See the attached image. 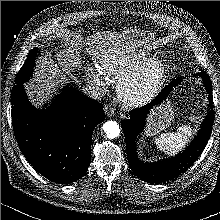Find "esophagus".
<instances>
[{
	"instance_id": "esophagus-1",
	"label": "esophagus",
	"mask_w": 220,
	"mask_h": 220,
	"mask_svg": "<svg viewBox=\"0 0 220 220\" xmlns=\"http://www.w3.org/2000/svg\"><path fill=\"white\" fill-rule=\"evenodd\" d=\"M104 111L107 117H112L115 114L114 108L110 104L104 105Z\"/></svg>"
}]
</instances>
